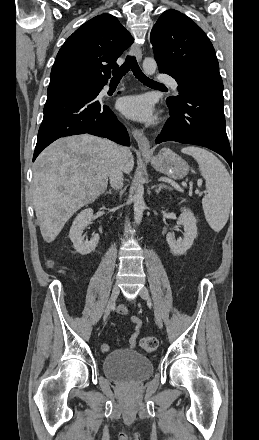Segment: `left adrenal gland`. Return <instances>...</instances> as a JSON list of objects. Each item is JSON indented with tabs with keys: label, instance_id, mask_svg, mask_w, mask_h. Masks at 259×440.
Returning a JSON list of instances; mask_svg holds the SVG:
<instances>
[{
	"label": "left adrenal gland",
	"instance_id": "1",
	"mask_svg": "<svg viewBox=\"0 0 259 440\" xmlns=\"http://www.w3.org/2000/svg\"><path fill=\"white\" fill-rule=\"evenodd\" d=\"M155 188H156L155 191L157 194H159L162 189H169V187L165 184H159V185L155 186Z\"/></svg>",
	"mask_w": 259,
	"mask_h": 440
}]
</instances>
